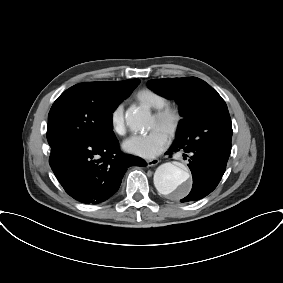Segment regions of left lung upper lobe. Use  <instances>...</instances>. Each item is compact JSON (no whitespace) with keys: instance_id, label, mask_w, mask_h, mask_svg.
Instances as JSON below:
<instances>
[{"instance_id":"left-lung-upper-lobe-1","label":"left lung upper lobe","mask_w":283,"mask_h":283,"mask_svg":"<svg viewBox=\"0 0 283 283\" xmlns=\"http://www.w3.org/2000/svg\"><path fill=\"white\" fill-rule=\"evenodd\" d=\"M148 87L178 102L183 119L178 124L176 140L189 137L210 152L230 155L231 118L225 101L210 85L196 77H183L154 79Z\"/></svg>"}]
</instances>
